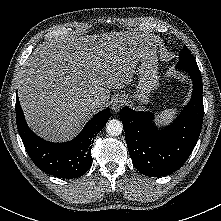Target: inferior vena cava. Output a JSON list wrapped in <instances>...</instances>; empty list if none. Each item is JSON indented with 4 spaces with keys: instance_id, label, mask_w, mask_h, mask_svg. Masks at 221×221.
<instances>
[{
    "instance_id": "obj_1",
    "label": "inferior vena cava",
    "mask_w": 221,
    "mask_h": 221,
    "mask_svg": "<svg viewBox=\"0 0 221 221\" xmlns=\"http://www.w3.org/2000/svg\"><path fill=\"white\" fill-rule=\"evenodd\" d=\"M90 106L94 107V108H98L101 106V101L99 98L97 99H93L90 101Z\"/></svg>"
}]
</instances>
